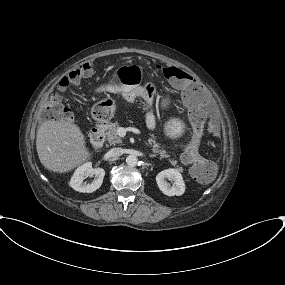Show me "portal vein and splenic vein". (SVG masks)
Instances as JSON below:
<instances>
[{
  "mask_svg": "<svg viewBox=\"0 0 285 285\" xmlns=\"http://www.w3.org/2000/svg\"><path fill=\"white\" fill-rule=\"evenodd\" d=\"M119 135L124 137L126 135V130L123 127H120L118 129Z\"/></svg>",
  "mask_w": 285,
  "mask_h": 285,
  "instance_id": "portal-vein-and-splenic-vein-1",
  "label": "portal vein and splenic vein"
}]
</instances>
